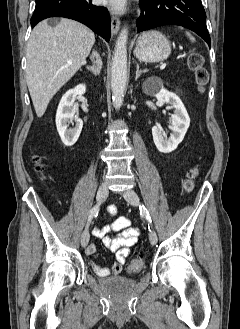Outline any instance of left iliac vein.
Segmentation results:
<instances>
[{"label": "left iliac vein", "instance_id": "obj_1", "mask_svg": "<svg viewBox=\"0 0 240 329\" xmlns=\"http://www.w3.org/2000/svg\"><path fill=\"white\" fill-rule=\"evenodd\" d=\"M123 197L125 198V200L130 203L133 206H137L138 203V195L136 194V192L132 189H128L126 191L123 192ZM149 241L152 245H155L157 243V234L154 230H151L149 233Z\"/></svg>", "mask_w": 240, "mask_h": 329}]
</instances>
